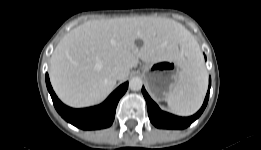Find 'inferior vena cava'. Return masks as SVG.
<instances>
[{
	"label": "inferior vena cava",
	"instance_id": "1",
	"mask_svg": "<svg viewBox=\"0 0 261 150\" xmlns=\"http://www.w3.org/2000/svg\"><path fill=\"white\" fill-rule=\"evenodd\" d=\"M129 74V69L122 65H116L112 69V76L117 80H122Z\"/></svg>",
	"mask_w": 261,
	"mask_h": 150
}]
</instances>
